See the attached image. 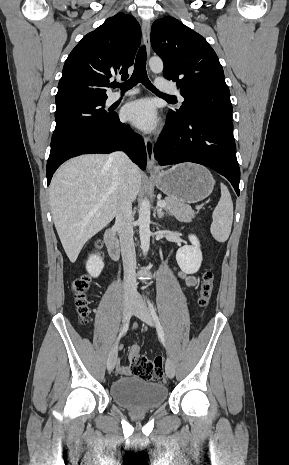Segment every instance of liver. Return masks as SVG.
<instances>
[{
  "label": "liver",
  "mask_w": 289,
  "mask_h": 465,
  "mask_svg": "<svg viewBox=\"0 0 289 465\" xmlns=\"http://www.w3.org/2000/svg\"><path fill=\"white\" fill-rule=\"evenodd\" d=\"M126 176L133 202L140 190L141 171L130 161ZM119 188V175L105 154L72 158L54 174L49 190L52 218L72 263L85 243L116 216Z\"/></svg>",
  "instance_id": "1"
}]
</instances>
